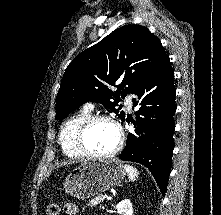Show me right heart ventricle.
<instances>
[{"instance_id":"1","label":"right heart ventricle","mask_w":221,"mask_h":215,"mask_svg":"<svg viewBox=\"0 0 221 215\" xmlns=\"http://www.w3.org/2000/svg\"><path fill=\"white\" fill-rule=\"evenodd\" d=\"M91 115V111L84 108L71 116L62 126L60 131V144L66 156L77 158L84 155L77 146L76 136L81 125Z\"/></svg>"}]
</instances>
